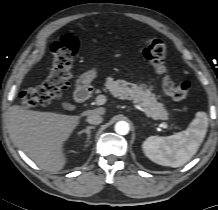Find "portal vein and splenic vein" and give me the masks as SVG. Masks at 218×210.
Instances as JSON below:
<instances>
[{
	"mask_svg": "<svg viewBox=\"0 0 218 210\" xmlns=\"http://www.w3.org/2000/svg\"><path fill=\"white\" fill-rule=\"evenodd\" d=\"M105 102H106V97H105L104 95H99V96L96 97V104H97V105H103ZM160 126H161L162 128H164V129H167V128H168V125H167V123H165V122H162V123L160 124Z\"/></svg>",
	"mask_w": 218,
	"mask_h": 210,
	"instance_id": "portal-vein-and-splenic-vein-1",
	"label": "portal vein and splenic vein"
}]
</instances>
